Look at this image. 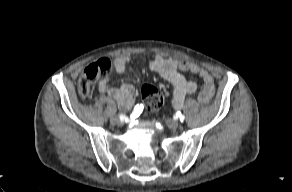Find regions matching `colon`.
Wrapping results in <instances>:
<instances>
[{"label": "colon", "instance_id": "colon-1", "mask_svg": "<svg viewBox=\"0 0 292 192\" xmlns=\"http://www.w3.org/2000/svg\"><path fill=\"white\" fill-rule=\"evenodd\" d=\"M114 71V67L107 58H102L90 63L83 71L78 82V93L86 98L91 91L93 82L105 77ZM142 98L147 112L154 111L162 106L164 93L152 85H145L142 88Z\"/></svg>", "mask_w": 292, "mask_h": 192}]
</instances>
